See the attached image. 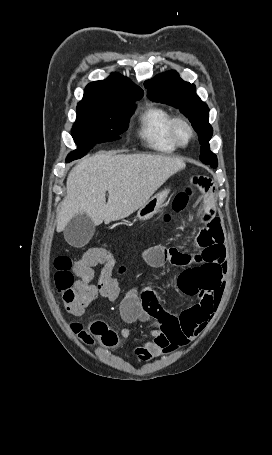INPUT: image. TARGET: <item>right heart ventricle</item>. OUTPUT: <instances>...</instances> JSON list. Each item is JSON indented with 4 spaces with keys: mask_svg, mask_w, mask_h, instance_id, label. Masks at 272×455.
Returning a JSON list of instances; mask_svg holds the SVG:
<instances>
[{
    "mask_svg": "<svg viewBox=\"0 0 272 455\" xmlns=\"http://www.w3.org/2000/svg\"><path fill=\"white\" fill-rule=\"evenodd\" d=\"M173 115L167 109L149 104L138 116L137 135L147 148L162 154L177 150L169 135V123Z\"/></svg>",
    "mask_w": 272,
    "mask_h": 455,
    "instance_id": "obj_1",
    "label": "right heart ventricle"
}]
</instances>
